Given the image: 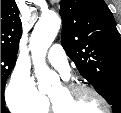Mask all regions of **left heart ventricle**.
<instances>
[{
  "label": "left heart ventricle",
  "mask_w": 121,
  "mask_h": 113,
  "mask_svg": "<svg viewBox=\"0 0 121 113\" xmlns=\"http://www.w3.org/2000/svg\"><path fill=\"white\" fill-rule=\"evenodd\" d=\"M48 95L55 101L62 113L70 111L104 113L105 111L104 105L91 93L74 96L67 92L62 85H58Z\"/></svg>",
  "instance_id": "obj_1"
}]
</instances>
